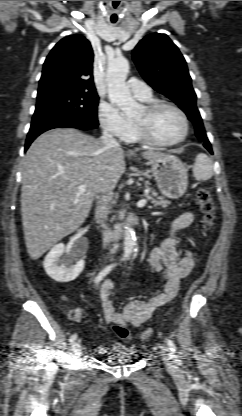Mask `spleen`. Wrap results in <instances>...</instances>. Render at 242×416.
<instances>
[{
    "label": "spleen",
    "mask_w": 242,
    "mask_h": 416,
    "mask_svg": "<svg viewBox=\"0 0 242 416\" xmlns=\"http://www.w3.org/2000/svg\"><path fill=\"white\" fill-rule=\"evenodd\" d=\"M214 174L212 160L204 153H200L195 158L193 175L196 180L205 181Z\"/></svg>",
    "instance_id": "1"
}]
</instances>
